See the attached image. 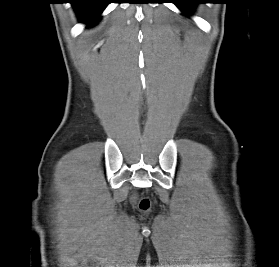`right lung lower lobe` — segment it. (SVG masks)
<instances>
[{"label": "right lung lower lobe", "mask_w": 279, "mask_h": 267, "mask_svg": "<svg viewBox=\"0 0 279 267\" xmlns=\"http://www.w3.org/2000/svg\"><path fill=\"white\" fill-rule=\"evenodd\" d=\"M71 3L74 5L80 21L92 25L99 19L109 0H72Z\"/></svg>", "instance_id": "1"}]
</instances>
